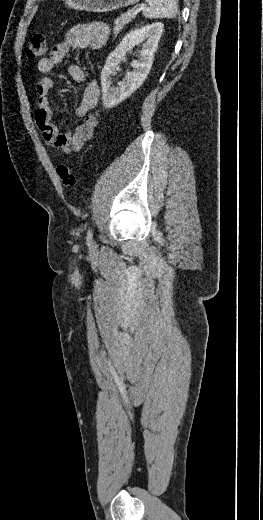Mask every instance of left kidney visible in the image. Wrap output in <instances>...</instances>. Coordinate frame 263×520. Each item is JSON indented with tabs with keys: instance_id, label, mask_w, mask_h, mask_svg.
Returning a JSON list of instances; mask_svg holds the SVG:
<instances>
[{
	"instance_id": "5707ae66",
	"label": "left kidney",
	"mask_w": 263,
	"mask_h": 520,
	"mask_svg": "<svg viewBox=\"0 0 263 520\" xmlns=\"http://www.w3.org/2000/svg\"><path fill=\"white\" fill-rule=\"evenodd\" d=\"M162 32V23H153L134 29L125 35L118 47L109 55L101 73L102 98L106 108L118 105L143 84L153 64ZM136 45H142V49L140 58L131 63L134 70L126 74V79L119 82L118 87H111V76L116 74L118 65L126 52Z\"/></svg>"
}]
</instances>
